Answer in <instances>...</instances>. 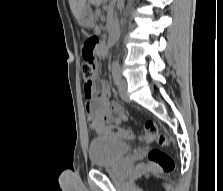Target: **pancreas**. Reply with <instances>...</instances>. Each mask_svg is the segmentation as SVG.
<instances>
[{"label":"pancreas","instance_id":"cf45deb5","mask_svg":"<svg viewBox=\"0 0 223 191\" xmlns=\"http://www.w3.org/2000/svg\"><path fill=\"white\" fill-rule=\"evenodd\" d=\"M92 4L99 5L102 0H90Z\"/></svg>","mask_w":223,"mask_h":191}]
</instances>
